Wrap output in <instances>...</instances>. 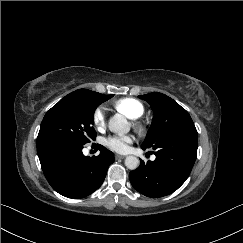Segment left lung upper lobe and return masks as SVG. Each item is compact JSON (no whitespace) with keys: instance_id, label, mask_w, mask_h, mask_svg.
Segmentation results:
<instances>
[{"instance_id":"obj_1","label":"left lung upper lobe","mask_w":243,"mask_h":243,"mask_svg":"<svg viewBox=\"0 0 243 243\" xmlns=\"http://www.w3.org/2000/svg\"><path fill=\"white\" fill-rule=\"evenodd\" d=\"M138 97L147 101L154 113V122L142 146L155 149L171 139L197 134L188 112L172 98L159 92Z\"/></svg>"}]
</instances>
